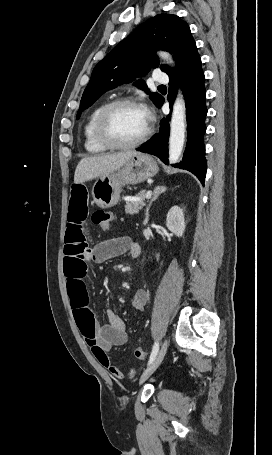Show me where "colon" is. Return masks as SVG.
Instances as JSON below:
<instances>
[{
  "label": "colon",
  "instance_id": "obj_1",
  "mask_svg": "<svg viewBox=\"0 0 272 455\" xmlns=\"http://www.w3.org/2000/svg\"><path fill=\"white\" fill-rule=\"evenodd\" d=\"M92 222L96 224L102 232H107L111 226L112 215L104 210H96L92 214ZM135 356L139 359H145L146 352L142 348L138 347L135 350Z\"/></svg>",
  "mask_w": 272,
  "mask_h": 455
}]
</instances>
